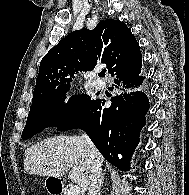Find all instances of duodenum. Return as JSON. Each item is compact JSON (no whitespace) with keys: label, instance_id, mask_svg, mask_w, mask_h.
<instances>
[{"label":"duodenum","instance_id":"duodenum-1","mask_svg":"<svg viewBox=\"0 0 189 195\" xmlns=\"http://www.w3.org/2000/svg\"><path fill=\"white\" fill-rule=\"evenodd\" d=\"M50 193L52 195H63V189L58 181L53 180L50 185Z\"/></svg>","mask_w":189,"mask_h":195}]
</instances>
